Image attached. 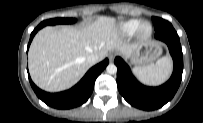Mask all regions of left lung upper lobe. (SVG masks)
Masks as SVG:
<instances>
[{"label": "left lung upper lobe", "mask_w": 203, "mask_h": 123, "mask_svg": "<svg viewBox=\"0 0 203 123\" xmlns=\"http://www.w3.org/2000/svg\"><path fill=\"white\" fill-rule=\"evenodd\" d=\"M152 21L154 24L155 31L162 30L164 28L172 26L168 21L163 20L161 18L152 17Z\"/></svg>", "instance_id": "left-lung-upper-lobe-1"}]
</instances>
